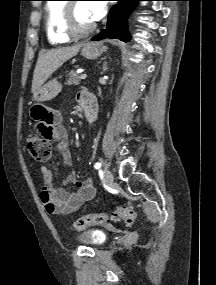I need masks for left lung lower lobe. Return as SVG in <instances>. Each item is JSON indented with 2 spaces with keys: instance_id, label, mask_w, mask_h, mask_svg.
Instances as JSON below:
<instances>
[{
  "instance_id": "1",
  "label": "left lung lower lobe",
  "mask_w": 216,
  "mask_h": 285,
  "mask_svg": "<svg viewBox=\"0 0 216 285\" xmlns=\"http://www.w3.org/2000/svg\"><path fill=\"white\" fill-rule=\"evenodd\" d=\"M118 1L109 13L107 26L99 34L92 38L93 41L105 38H118L125 42L129 41L130 36L126 29V19L128 13L136 6L139 1L146 0H115Z\"/></svg>"
}]
</instances>
